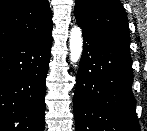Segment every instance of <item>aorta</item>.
<instances>
[{"label":"aorta","instance_id":"obj_1","mask_svg":"<svg viewBox=\"0 0 147 131\" xmlns=\"http://www.w3.org/2000/svg\"><path fill=\"white\" fill-rule=\"evenodd\" d=\"M83 47V38L81 29L74 26L70 31L69 36V49H70V60L72 63H76L80 60Z\"/></svg>","mask_w":147,"mask_h":131}]
</instances>
